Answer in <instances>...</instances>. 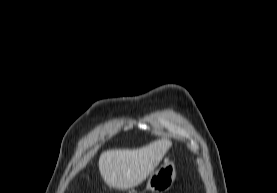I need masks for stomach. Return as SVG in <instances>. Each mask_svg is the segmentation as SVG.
Returning a JSON list of instances; mask_svg holds the SVG:
<instances>
[{
	"label": "stomach",
	"instance_id": "obj_1",
	"mask_svg": "<svg viewBox=\"0 0 277 193\" xmlns=\"http://www.w3.org/2000/svg\"><path fill=\"white\" fill-rule=\"evenodd\" d=\"M175 178V164L174 162L166 159L156 171H153L149 175L146 188L151 190L153 193H164L172 187Z\"/></svg>",
	"mask_w": 277,
	"mask_h": 193
}]
</instances>
